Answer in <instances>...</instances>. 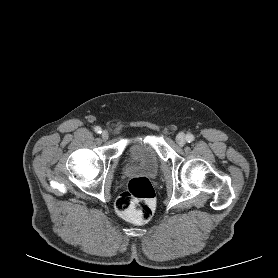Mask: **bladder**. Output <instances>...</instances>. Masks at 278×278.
Returning <instances> with one entry per match:
<instances>
[{
	"mask_svg": "<svg viewBox=\"0 0 278 278\" xmlns=\"http://www.w3.org/2000/svg\"><path fill=\"white\" fill-rule=\"evenodd\" d=\"M160 159L153 142L144 138L133 140L125 150V171L128 174L143 173L155 175Z\"/></svg>",
	"mask_w": 278,
	"mask_h": 278,
	"instance_id": "1",
	"label": "bladder"
}]
</instances>
